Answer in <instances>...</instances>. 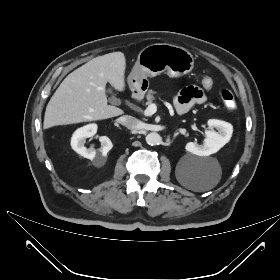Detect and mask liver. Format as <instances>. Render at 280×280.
<instances>
[{
    "instance_id": "6515ba94",
    "label": "liver",
    "mask_w": 280,
    "mask_h": 280,
    "mask_svg": "<svg viewBox=\"0 0 280 280\" xmlns=\"http://www.w3.org/2000/svg\"><path fill=\"white\" fill-rule=\"evenodd\" d=\"M126 59L122 52L96 57L70 73L57 88L46 107L44 129L56 125L108 119L122 115L108 105L105 86L125 88Z\"/></svg>"
}]
</instances>
